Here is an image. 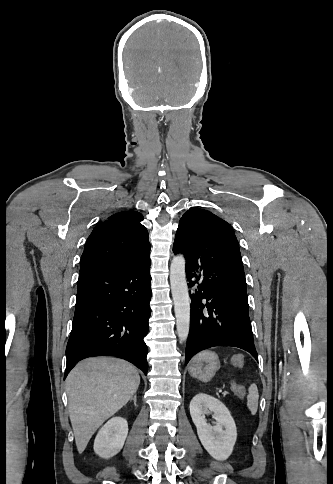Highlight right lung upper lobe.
I'll use <instances>...</instances> for the list:
<instances>
[{
  "label": "right lung upper lobe",
  "mask_w": 333,
  "mask_h": 484,
  "mask_svg": "<svg viewBox=\"0 0 333 484\" xmlns=\"http://www.w3.org/2000/svg\"><path fill=\"white\" fill-rule=\"evenodd\" d=\"M142 220L139 212L129 210L100 222L87 239L80 271L132 265L149 257L151 246Z\"/></svg>",
  "instance_id": "obj_1"
}]
</instances>
